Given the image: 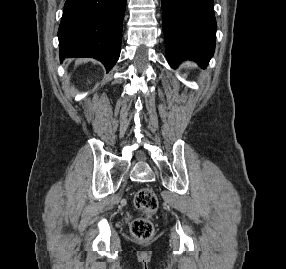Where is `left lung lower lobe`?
<instances>
[{"label":"left lung lower lobe","mask_w":286,"mask_h":269,"mask_svg":"<svg viewBox=\"0 0 286 269\" xmlns=\"http://www.w3.org/2000/svg\"><path fill=\"white\" fill-rule=\"evenodd\" d=\"M162 13L168 63L192 59L205 67L215 48L213 0H162Z\"/></svg>","instance_id":"0a47b994"}]
</instances>
